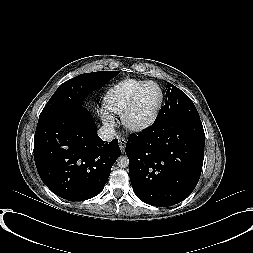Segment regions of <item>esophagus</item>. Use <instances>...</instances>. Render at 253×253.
Instances as JSON below:
<instances>
[{"label":"esophagus","mask_w":253,"mask_h":253,"mask_svg":"<svg viewBox=\"0 0 253 253\" xmlns=\"http://www.w3.org/2000/svg\"><path fill=\"white\" fill-rule=\"evenodd\" d=\"M118 141H119V147H120L121 151L124 153L125 147H126V139L123 137H119Z\"/></svg>","instance_id":"esophagus-1"}]
</instances>
